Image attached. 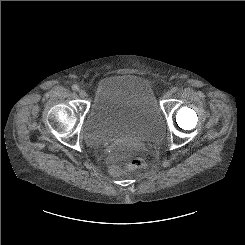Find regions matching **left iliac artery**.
<instances>
[{
	"mask_svg": "<svg viewBox=\"0 0 245 245\" xmlns=\"http://www.w3.org/2000/svg\"><path fill=\"white\" fill-rule=\"evenodd\" d=\"M171 91H172V93H175V92L178 91V88H177V87H173V88L171 89Z\"/></svg>",
	"mask_w": 245,
	"mask_h": 245,
	"instance_id": "obj_1",
	"label": "left iliac artery"
}]
</instances>
